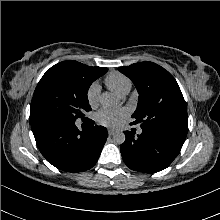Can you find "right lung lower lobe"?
<instances>
[{
  "mask_svg": "<svg viewBox=\"0 0 220 220\" xmlns=\"http://www.w3.org/2000/svg\"><path fill=\"white\" fill-rule=\"evenodd\" d=\"M89 121L90 125L80 131L75 122L30 114L31 128L41 154L50 164L66 172L86 171L100 156L107 129Z\"/></svg>",
  "mask_w": 220,
  "mask_h": 220,
  "instance_id": "right-lung-lower-lobe-1",
  "label": "right lung lower lobe"
}]
</instances>
